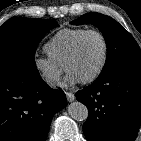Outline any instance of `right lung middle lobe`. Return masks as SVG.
<instances>
[{"label": "right lung middle lobe", "instance_id": "right-lung-middle-lobe-1", "mask_svg": "<svg viewBox=\"0 0 141 141\" xmlns=\"http://www.w3.org/2000/svg\"><path fill=\"white\" fill-rule=\"evenodd\" d=\"M59 25L51 20L13 17L0 27V71L38 72L34 54L39 40Z\"/></svg>", "mask_w": 141, "mask_h": 141}]
</instances>
